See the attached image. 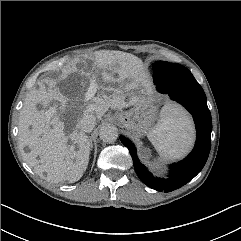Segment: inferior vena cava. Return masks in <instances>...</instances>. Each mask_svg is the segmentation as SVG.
<instances>
[{
  "label": "inferior vena cava",
  "instance_id": "obj_1",
  "mask_svg": "<svg viewBox=\"0 0 241 241\" xmlns=\"http://www.w3.org/2000/svg\"><path fill=\"white\" fill-rule=\"evenodd\" d=\"M96 125V117L93 114H84L80 120L79 127L84 132H91Z\"/></svg>",
  "mask_w": 241,
  "mask_h": 241
}]
</instances>
